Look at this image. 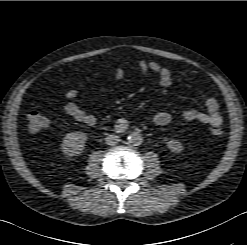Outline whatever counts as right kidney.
Wrapping results in <instances>:
<instances>
[{
    "label": "right kidney",
    "instance_id": "1",
    "mask_svg": "<svg viewBox=\"0 0 247 245\" xmlns=\"http://www.w3.org/2000/svg\"><path fill=\"white\" fill-rule=\"evenodd\" d=\"M86 140L87 136L83 132L68 133L62 141V152L68 156H77L83 152Z\"/></svg>",
    "mask_w": 247,
    "mask_h": 245
}]
</instances>
